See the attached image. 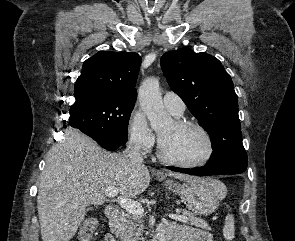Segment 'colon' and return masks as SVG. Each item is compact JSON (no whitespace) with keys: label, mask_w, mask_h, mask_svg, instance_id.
I'll list each match as a JSON object with an SVG mask.
<instances>
[{"label":"colon","mask_w":295,"mask_h":241,"mask_svg":"<svg viewBox=\"0 0 295 241\" xmlns=\"http://www.w3.org/2000/svg\"><path fill=\"white\" fill-rule=\"evenodd\" d=\"M97 227V221L95 219H87L81 226L79 232V238L81 241H90L94 235Z\"/></svg>","instance_id":"colon-1"}]
</instances>
